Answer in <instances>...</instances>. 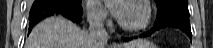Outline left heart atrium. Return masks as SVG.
I'll return each mask as SVG.
<instances>
[{"instance_id":"obj_1","label":"left heart atrium","mask_w":213,"mask_h":48,"mask_svg":"<svg viewBox=\"0 0 213 48\" xmlns=\"http://www.w3.org/2000/svg\"><path fill=\"white\" fill-rule=\"evenodd\" d=\"M113 7L111 9V13L113 16H115L116 18H118L119 20H122L123 16H124V12H125V5H124V1L122 0H118L113 2Z\"/></svg>"}]
</instances>
